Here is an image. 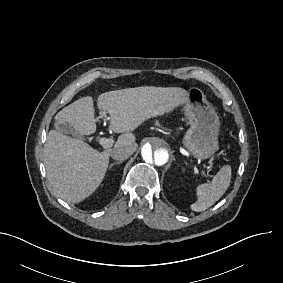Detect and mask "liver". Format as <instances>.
Masks as SVG:
<instances>
[{"label": "liver", "mask_w": 283, "mask_h": 283, "mask_svg": "<svg viewBox=\"0 0 283 283\" xmlns=\"http://www.w3.org/2000/svg\"><path fill=\"white\" fill-rule=\"evenodd\" d=\"M190 93L182 88L137 87L103 93L97 97L101 114H109L116 133L133 132L149 119L166 116L189 102ZM58 124L72 125L80 135L96 131L93 97L86 96L61 110ZM128 145L137 150L136 136L122 134L114 146ZM44 165L49 183L58 197L80 204L94 194L105 179L111 149L98 152L82 140L57 129L46 139Z\"/></svg>", "instance_id": "1"}]
</instances>
